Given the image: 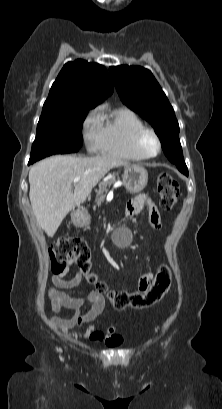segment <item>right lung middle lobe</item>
Wrapping results in <instances>:
<instances>
[{
  "label": "right lung middle lobe",
  "mask_w": 222,
  "mask_h": 409,
  "mask_svg": "<svg viewBox=\"0 0 222 409\" xmlns=\"http://www.w3.org/2000/svg\"><path fill=\"white\" fill-rule=\"evenodd\" d=\"M92 106L42 110L29 163L54 154L77 152L82 145V124Z\"/></svg>",
  "instance_id": "obj_1"
}]
</instances>
